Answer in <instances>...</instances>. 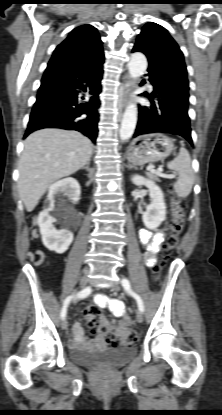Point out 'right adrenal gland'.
<instances>
[{
	"label": "right adrenal gland",
	"mask_w": 222,
	"mask_h": 415,
	"mask_svg": "<svg viewBox=\"0 0 222 415\" xmlns=\"http://www.w3.org/2000/svg\"><path fill=\"white\" fill-rule=\"evenodd\" d=\"M90 163L88 162L82 169H86L88 172H91V169L89 168Z\"/></svg>",
	"instance_id": "right-adrenal-gland-1"
}]
</instances>
